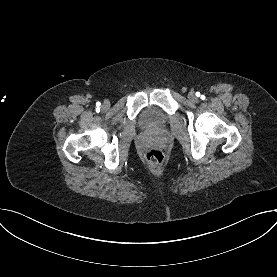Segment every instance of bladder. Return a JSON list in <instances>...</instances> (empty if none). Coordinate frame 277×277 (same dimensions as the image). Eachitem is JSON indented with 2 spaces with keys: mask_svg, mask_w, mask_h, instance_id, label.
<instances>
[{
  "mask_svg": "<svg viewBox=\"0 0 277 277\" xmlns=\"http://www.w3.org/2000/svg\"><path fill=\"white\" fill-rule=\"evenodd\" d=\"M142 123L149 128H159L165 124V118L159 110L149 108L142 115Z\"/></svg>",
  "mask_w": 277,
  "mask_h": 277,
  "instance_id": "bladder-1",
  "label": "bladder"
}]
</instances>
